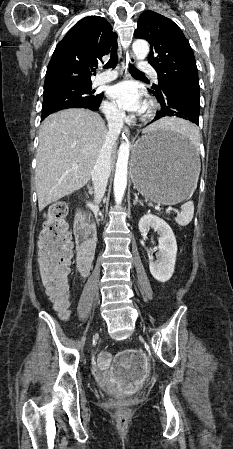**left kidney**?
Returning a JSON list of instances; mask_svg holds the SVG:
<instances>
[{
    "instance_id": "1",
    "label": "left kidney",
    "mask_w": 233,
    "mask_h": 449,
    "mask_svg": "<svg viewBox=\"0 0 233 449\" xmlns=\"http://www.w3.org/2000/svg\"><path fill=\"white\" fill-rule=\"evenodd\" d=\"M138 227L141 233L152 228L160 236L157 260L149 258V269L157 281H168L173 275L177 255V242L171 227L163 219L152 214L144 215L139 220Z\"/></svg>"
}]
</instances>
